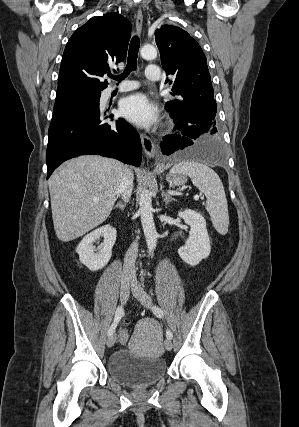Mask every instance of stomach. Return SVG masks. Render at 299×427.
Returning <instances> with one entry per match:
<instances>
[{"label": "stomach", "mask_w": 299, "mask_h": 427, "mask_svg": "<svg viewBox=\"0 0 299 427\" xmlns=\"http://www.w3.org/2000/svg\"><path fill=\"white\" fill-rule=\"evenodd\" d=\"M167 181L171 186H182L187 182V178L183 174L169 173Z\"/></svg>", "instance_id": "1"}]
</instances>
